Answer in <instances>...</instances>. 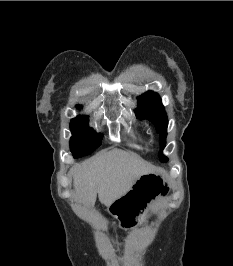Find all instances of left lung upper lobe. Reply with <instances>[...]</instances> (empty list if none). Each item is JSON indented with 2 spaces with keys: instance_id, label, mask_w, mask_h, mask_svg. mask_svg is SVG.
Here are the masks:
<instances>
[{
  "instance_id": "left-lung-upper-lobe-1",
  "label": "left lung upper lobe",
  "mask_w": 233,
  "mask_h": 266,
  "mask_svg": "<svg viewBox=\"0 0 233 266\" xmlns=\"http://www.w3.org/2000/svg\"><path fill=\"white\" fill-rule=\"evenodd\" d=\"M135 112L138 118L148 119L154 124L157 133L160 134V144L163 150L166 144L168 119L160 96L153 91L142 94L138 97V107ZM159 156L162 162L167 161V158L161 153Z\"/></svg>"
}]
</instances>
